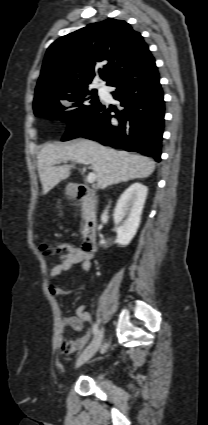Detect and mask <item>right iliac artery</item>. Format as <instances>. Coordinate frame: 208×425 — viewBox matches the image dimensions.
<instances>
[{
  "label": "right iliac artery",
  "instance_id": "1",
  "mask_svg": "<svg viewBox=\"0 0 208 425\" xmlns=\"http://www.w3.org/2000/svg\"><path fill=\"white\" fill-rule=\"evenodd\" d=\"M92 331L94 336L98 334L99 330H98V325L96 323L93 324Z\"/></svg>",
  "mask_w": 208,
  "mask_h": 425
}]
</instances>
